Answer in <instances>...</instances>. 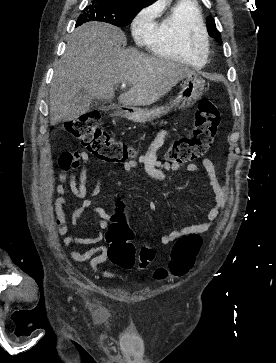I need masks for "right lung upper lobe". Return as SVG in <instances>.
<instances>
[{
	"label": "right lung upper lobe",
	"mask_w": 276,
	"mask_h": 363,
	"mask_svg": "<svg viewBox=\"0 0 276 363\" xmlns=\"http://www.w3.org/2000/svg\"><path fill=\"white\" fill-rule=\"evenodd\" d=\"M107 1L127 3V4H141L145 6L151 4L154 0H107Z\"/></svg>",
	"instance_id": "1"
}]
</instances>
